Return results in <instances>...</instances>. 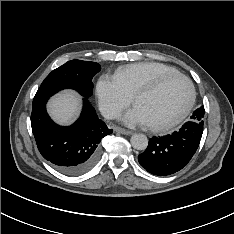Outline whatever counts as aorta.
I'll return each mask as SVG.
<instances>
[{
  "label": "aorta",
  "mask_w": 234,
  "mask_h": 234,
  "mask_svg": "<svg viewBox=\"0 0 234 234\" xmlns=\"http://www.w3.org/2000/svg\"><path fill=\"white\" fill-rule=\"evenodd\" d=\"M130 141L136 150H145L148 146V139L144 134H133Z\"/></svg>",
  "instance_id": "762f6f07"
}]
</instances>
